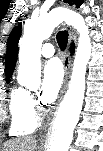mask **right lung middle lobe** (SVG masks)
<instances>
[{
  "instance_id": "dd1d6c3e",
  "label": "right lung middle lobe",
  "mask_w": 103,
  "mask_h": 151,
  "mask_svg": "<svg viewBox=\"0 0 103 151\" xmlns=\"http://www.w3.org/2000/svg\"><path fill=\"white\" fill-rule=\"evenodd\" d=\"M6 81H7V83H9V82H10V79H6Z\"/></svg>"
}]
</instances>
